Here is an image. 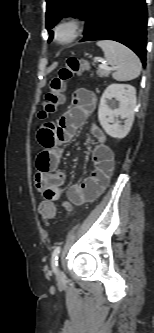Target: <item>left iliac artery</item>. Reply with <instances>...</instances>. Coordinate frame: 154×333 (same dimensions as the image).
I'll return each mask as SVG.
<instances>
[{
    "instance_id": "44dca946",
    "label": "left iliac artery",
    "mask_w": 154,
    "mask_h": 333,
    "mask_svg": "<svg viewBox=\"0 0 154 333\" xmlns=\"http://www.w3.org/2000/svg\"><path fill=\"white\" fill-rule=\"evenodd\" d=\"M61 247L57 246L55 247L53 253H52V257H51V264H52V268L53 270L56 272L57 271V266H58V255L60 253Z\"/></svg>"
}]
</instances>
